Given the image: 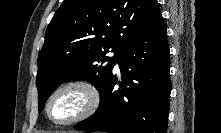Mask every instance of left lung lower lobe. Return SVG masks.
<instances>
[{
  "label": "left lung lower lobe",
  "instance_id": "left-lung-lower-lobe-1",
  "mask_svg": "<svg viewBox=\"0 0 221 133\" xmlns=\"http://www.w3.org/2000/svg\"><path fill=\"white\" fill-rule=\"evenodd\" d=\"M116 63L120 88L112 74L100 91L98 110L74 126L80 131L109 133H166L171 82L169 47L162 16L129 41Z\"/></svg>",
  "mask_w": 221,
  "mask_h": 133
}]
</instances>
